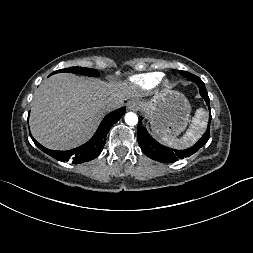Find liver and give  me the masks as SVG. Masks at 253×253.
<instances>
[{"label":"liver","instance_id":"obj_1","mask_svg":"<svg viewBox=\"0 0 253 253\" xmlns=\"http://www.w3.org/2000/svg\"><path fill=\"white\" fill-rule=\"evenodd\" d=\"M133 84L59 73L43 81L31 103L30 129L34 138L52 150H68L85 142L109 111L141 96Z\"/></svg>","mask_w":253,"mask_h":253}]
</instances>
